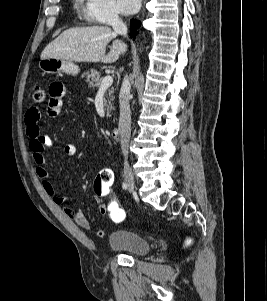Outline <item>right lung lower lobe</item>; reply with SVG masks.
Masks as SVG:
<instances>
[{
    "mask_svg": "<svg viewBox=\"0 0 267 301\" xmlns=\"http://www.w3.org/2000/svg\"><path fill=\"white\" fill-rule=\"evenodd\" d=\"M139 27H140V21H138L136 19H132L131 20V30H134L131 34L132 36H135L137 34V32L135 30Z\"/></svg>",
    "mask_w": 267,
    "mask_h": 301,
    "instance_id": "obj_1",
    "label": "right lung lower lobe"
}]
</instances>
